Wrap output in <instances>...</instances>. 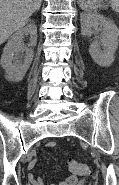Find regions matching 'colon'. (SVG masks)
<instances>
[{"label": "colon", "mask_w": 119, "mask_h": 185, "mask_svg": "<svg viewBox=\"0 0 119 185\" xmlns=\"http://www.w3.org/2000/svg\"><path fill=\"white\" fill-rule=\"evenodd\" d=\"M67 168L74 174L86 176L90 173L89 167L75 159H67Z\"/></svg>", "instance_id": "colon-1"}]
</instances>
